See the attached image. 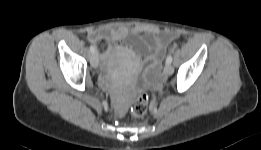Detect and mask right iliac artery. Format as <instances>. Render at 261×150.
I'll return each mask as SVG.
<instances>
[{
  "instance_id": "82829eb1",
  "label": "right iliac artery",
  "mask_w": 261,
  "mask_h": 150,
  "mask_svg": "<svg viewBox=\"0 0 261 150\" xmlns=\"http://www.w3.org/2000/svg\"><path fill=\"white\" fill-rule=\"evenodd\" d=\"M90 51H91L92 53H95V52H96V48L91 45V46H90Z\"/></svg>"
}]
</instances>
